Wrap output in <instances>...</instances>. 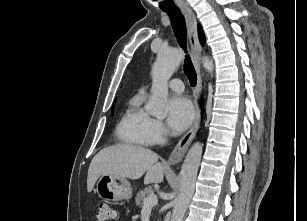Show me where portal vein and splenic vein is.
<instances>
[{
	"mask_svg": "<svg viewBox=\"0 0 307 221\" xmlns=\"http://www.w3.org/2000/svg\"><path fill=\"white\" fill-rule=\"evenodd\" d=\"M157 202H158L157 196L152 193L147 196L146 200L144 201L143 207L144 208L153 207L157 204Z\"/></svg>",
	"mask_w": 307,
	"mask_h": 221,
	"instance_id": "18ae733b",
	"label": "portal vein and splenic vein"
}]
</instances>
